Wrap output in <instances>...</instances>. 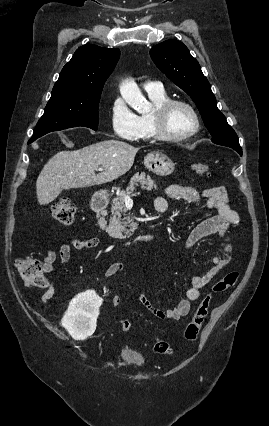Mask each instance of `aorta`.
Returning <instances> with one entry per match:
<instances>
[{"label":"aorta","mask_w":269,"mask_h":426,"mask_svg":"<svg viewBox=\"0 0 269 426\" xmlns=\"http://www.w3.org/2000/svg\"><path fill=\"white\" fill-rule=\"evenodd\" d=\"M120 93L128 105L138 113H147L150 111L151 104L145 99L134 80H125L120 86Z\"/></svg>","instance_id":"762f6f07"}]
</instances>
